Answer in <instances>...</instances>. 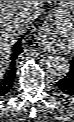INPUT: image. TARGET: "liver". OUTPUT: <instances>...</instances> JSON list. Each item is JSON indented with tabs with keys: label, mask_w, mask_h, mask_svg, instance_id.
Returning <instances> with one entry per match:
<instances>
[{
	"label": "liver",
	"mask_w": 74,
	"mask_h": 122,
	"mask_svg": "<svg viewBox=\"0 0 74 122\" xmlns=\"http://www.w3.org/2000/svg\"><path fill=\"white\" fill-rule=\"evenodd\" d=\"M56 3V1H54ZM44 1H0V72L5 71L11 49L17 40L26 32L20 28L25 19L33 16L36 19Z\"/></svg>",
	"instance_id": "6515ba94"
}]
</instances>
